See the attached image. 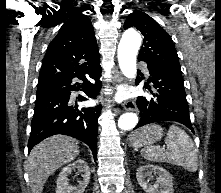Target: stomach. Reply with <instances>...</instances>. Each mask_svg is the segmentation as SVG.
<instances>
[{"mask_svg":"<svg viewBox=\"0 0 221 193\" xmlns=\"http://www.w3.org/2000/svg\"><path fill=\"white\" fill-rule=\"evenodd\" d=\"M163 136V129L157 124L139 128L129 135V144L134 148L150 146L159 141Z\"/></svg>","mask_w":221,"mask_h":193,"instance_id":"0dacf381","label":"stomach"}]
</instances>
